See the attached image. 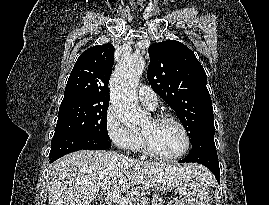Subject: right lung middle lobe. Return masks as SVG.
<instances>
[{
	"label": "right lung middle lobe",
	"mask_w": 269,
	"mask_h": 205,
	"mask_svg": "<svg viewBox=\"0 0 269 205\" xmlns=\"http://www.w3.org/2000/svg\"><path fill=\"white\" fill-rule=\"evenodd\" d=\"M109 104H72L60 106L55 136L79 133L109 140L107 109Z\"/></svg>",
	"instance_id": "1"
}]
</instances>
